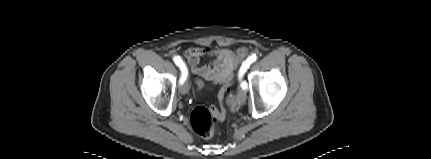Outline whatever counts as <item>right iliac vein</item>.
<instances>
[{
	"label": "right iliac vein",
	"mask_w": 431,
	"mask_h": 159,
	"mask_svg": "<svg viewBox=\"0 0 431 159\" xmlns=\"http://www.w3.org/2000/svg\"><path fill=\"white\" fill-rule=\"evenodd\" d=\"M179 91H180V93H181V94H183V95H185V94H187V93H188V91H189V83H188V81H185V82L180 86Z\"/></svg>",
	"instance_id": "right-iliac-vein-1"
}]
</instances>
